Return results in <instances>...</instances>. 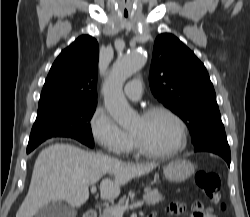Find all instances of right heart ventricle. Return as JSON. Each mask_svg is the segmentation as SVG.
<instances>
[{
    "label": "right heart ventricle",
    "mask_w": 250,
    "mask_h": 217,
    "mask_svg": "<svg viewBox=\"0 0 250 217\" xmlns=\"http://www.w3.org/2000/svg\"><path fill=\"white\" fill-rule=\"evenodd\" d=\"M134 147H135V146H134V142H133V139H132V141H131V146H130L129 151H130V150H131V151L134 150Z\"/></svg>",
    "instance_id": "right-heart-ventricle-1"
}]
</instances>
